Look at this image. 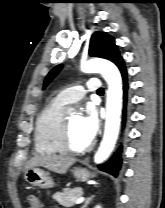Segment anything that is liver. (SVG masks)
Masks as SVG:
<instances>
[{"mask_svg": "<svg viewBox=\"0 0 165 208\" xmlns=\"http://www.w3.org/2000/svg\"><path fill=\"white\" fill-rule=\"evenodd\" d=\"M75 158L58 155L39 154L29 160L26 170L31 167L41 166L58 174H65L69 167L75 163Z\"/></svg>", "mask_w": 165, "mask_h": 208, "instance_id": "obj_1", "label": "liver"}]
</instances>
